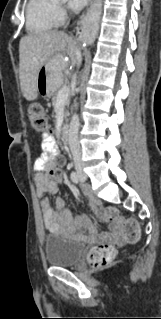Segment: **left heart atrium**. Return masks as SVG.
I'll return each mask as SVG.
<instances>
[{
  "instance_id": "left-heart-atrium-1",
  "label": "left heart atrium",
  "mask_w": 161,
  "mask_h": 319,
  "mask_svg": "<svg viewBox=\"0 0 161 319\" xmlns=\"http://www.w3.org/2000/svg\"><path fill=\"white\" fill-rule=\"evenodd\" d=\"M88 0H68V5L71 9H80L87 4Z\"/></svg>"
}]
</instances>
